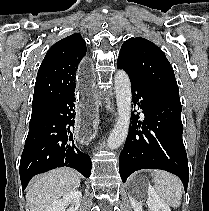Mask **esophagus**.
<instances>
[{
  "label": "esophagus",
  "mask_w": 209,
  "mask_h": 211,
  "mask_svg": "<svg viewBox=\"0 0 209 211\" xmlns=\"http://www.w3.org/2000/svg\"><path fill=\"white\" fill-rule=\"evenodd\" d=\"M91 56H82V64L77 70L78 89L74 93L73 102L75 108V141H81L82 145H87L92 141L93 133H97L99 113L98 101L95 94L94 67Z\"/></svg>",
  "instance_id": "esophagus-1"
}]
</instances>
